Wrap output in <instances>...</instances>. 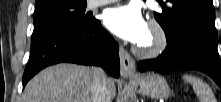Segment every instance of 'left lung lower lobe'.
<instances>
[{
	"mask_svg": "<svg viewBox=\"0 0 221 102\" xmlns=\"http://www.w3.org/2000/svg\"><path fill=\"white\" fill-rule=\"evenodd\" d=\"M216 41L202 31L193 28L182 29L167 38V47L160 56L141 61L138 69L141 72L199 70L208 74L221 87V61Z\"/></svg>",
	"mask_w": 221,
	"mask_h": 102,
	"instance_id": "left-lung-lower-lobe-1",
	"label": "left lung lower lobe"
}]
</instances>
